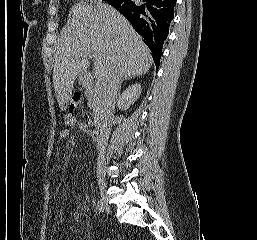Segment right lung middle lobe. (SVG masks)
<instances>
[{
	"label": "right lung middle lobe",
	"instance_id": "obj_1",
	"mask_svg": "<svg viewBox=\"0 0 257 240\" xmlns=\"http://www.w3.org/2000/svg\"><path fill=\"white\" fill-rule=\"evenodd\" d=\"M106 1H107L108 3H109V2H112V0H106Z\"/></svg>",
	"mask_w": 257,
	"mask_h": 240
}]
</instances>
